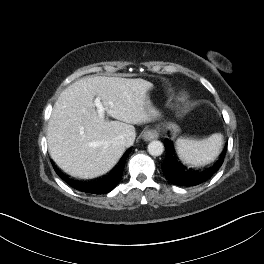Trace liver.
Wrapping results in <instances>:
<instances>
[{
	"mask_svg": "<svg viewBox=\"0 0 264 264\" xmlns=\"http://www.w3.org/2000/svg\"><path fill=\"white\" fill-rule=\"evenodd\" d=\"M153 84L141 78L83 77L68 86L54 104L47 142L53 161L64 172L94 178L108 172L134 143L135 124L154 121L158 112L147 100ZM100 97L109 116L100 118L93 99ZM128 140L126 146L115 141Z\"/></svg>",
	"mask_w": 264,
	"mask_h": 264,
	"instance_id": "obj_1",
	"label": "liver"
}]
</instances>
